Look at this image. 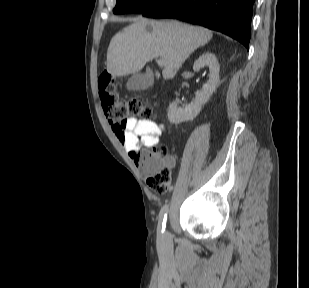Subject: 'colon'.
Returning <instances> with one entry per match:
<instances>
[{
  "mask_svg": "<svg viewBox=\"0 0 309 288\" xmlns=\"http://www.w3.org/2000/svg\"><path fill=\"white\" fill-rule=\"evenodd\" d=\"M98 90L105 114L112 122H125L136 116L148 118L152 115L153 103L150 100L144 101L138 96L120 100L114 77L107 71L99 76ZM133 158L151 191L165 192L171 188L172 161L165 146L154 145L138 150Z\"/></svg>",
  "mask_w": 309,
  "mask_h": 288,
  "instance_id": "1",
  "label": "colon"
}]
</instances>
